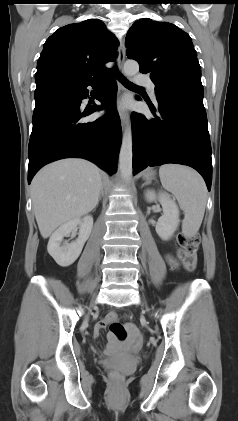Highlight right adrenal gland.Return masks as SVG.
<instances>
[{"label": "right adrenal gland", "instance_id": "right-adrenal-gland-1", "mask_svg": "<svg viewBox=\"0 0 238 421\" xmlns=\"http://www.w3.org/2000/svg\"><path fill=\"white\" fill-rule=\"evenodd\" d=\"M103 193H104V191H103V186H102L101 191H100V195H99V200L102 198Z\"/></svg>", "mask_w": 238, "mask_h": 421}]
</instances>
